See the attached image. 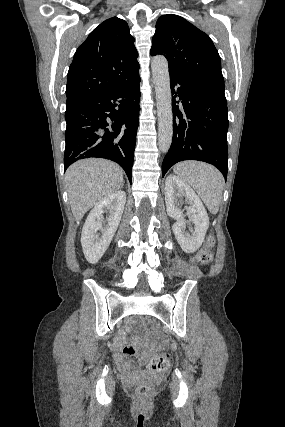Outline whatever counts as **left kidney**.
Instances as JSON below:
<instances>
[{"instance_id":"left-kidney-1","label":"left kidney","mask_w":285,"mask_h":427,"mask_svg":"<svg viewBox=\"0 0 285 427\" xmlns=\"http://www.w3.org/2000/svg\"><path fill=\"white\" fill-rule=\"evenodd\" d=\"M183 197L189 204L186 210L191 214V221L194 224L191 233L185 231L186 220L179 205V199ZM165 202L168 215L176 220L172 230L182 250L186 253L197 251L209 227V217L200 198L187 183L170 174L165 182Z\"/></svg>"}]
</instances>
